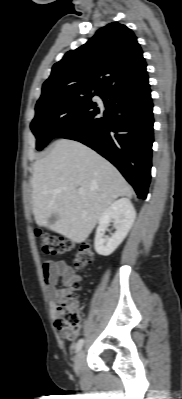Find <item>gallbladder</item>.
<instances>
[{"label": "gallbladder", "mask_w": 182, "mask_h": 399, "mask_svg": "<svg viewBox=\"0 0 182 399\" xmlns=\"http://www.w3.org/2000/svg\"><path fill=\"white\" fill-rule=\"evenodd\" d=\"M57 219V215L53 214L49 217V223H54Z\"/></svg>", "instance_id": "bac80fb5"}]
</instances>
